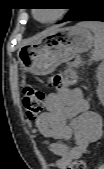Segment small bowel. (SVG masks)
<instances>
[{"mask_svg":"<svg viewBox=\"0 0 104 169\" xmlns=\"http://www.w3.org/2000/svg\"><path fill=\"white\" fill-rule=\"evenodd\" d=\"M45 107L36 127L48 140L49 149L59 157L57 167L65 169L101 137L102 119L90 110V103L80 89L62 88L47 94ZM72 138L75 144L68 145L66 142Z\"/></svg>","mask_w":104,"mask_h":169,"instance_id":"1","label":"small bowel"}]
</instances>
